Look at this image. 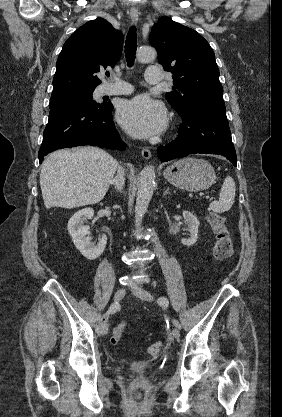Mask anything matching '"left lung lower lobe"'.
Returning <instances> with one entry per match:
<instances>
[{
	"instance_id": "left-lung-lower-lobe-1",
	"label": "left lung lower lobe",
	"mask_w": 282,
	"mask_h": 417,
	"mask_svg": "<svg viewBox=\"0 0 282 417\" xmlns=\"http://www.w3.org/2000/svg\"><path fill=\"white\" fill-rule=\"evenodd\" d=\"M182 118L178 138L158 148L161 161L195 153L218 154L236 166V152L222 97L202 95L192 99L178 112Z\"/></svg>"
}]
</instances>
